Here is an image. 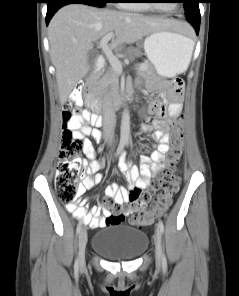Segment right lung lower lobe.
Segmentation results:
<instances>
[{
    "mask_svg": "<svg viewBox=\"0 0 239 296\" xmlns=\"http://www.w3.org/2000/svg\"><path fill=\"white\" fill-rule=\"evenodd\" d=\"M70 3H81L77 0H48V9H47V15H46V24L48 25L50 19L54 15V13L61 8L62 6Z\"/></svg>",
    "mask_w": 239,
    "mask_h": 296,
    "instance_id": "right-lung-lower-lobe-1",
    "label": "right lung lower lobe"
}]
</instances>
